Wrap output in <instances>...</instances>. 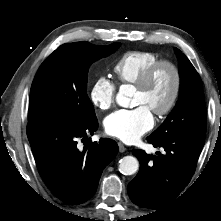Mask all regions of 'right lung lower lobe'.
<instances>
[{
  "instance_id": "1",
  "label": "right lung lower lobe",
  "mask_w": 221,
  "mask_h": 221,
  "mask_svg": "<svg viewBox=\"0 0 221 221\" xmlns=\"http://www.w3.org/2000/svg\"><path fill=\"white\" fill-rule=\"evenodd\" d=\"M97 119L89 123H70L60 119L42 118L28 123L27 136L38 171L52 191L67 204H81L96 192L101 173L118 152L112 139L86 143L77 141L94 134Z\"/></svg>"
}]
</instances>
